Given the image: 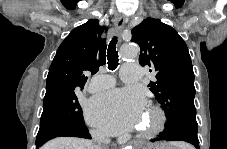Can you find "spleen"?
<instances>
[{"mask_svg": "<svg viewBox=\"0 0 227 149\" xmlns=\"http://www.w3.org/2000/svg\"><path fill=\"white\" fill-rule=\"evenodd\" d=\"M174 145L176 147H178L179 149H187L188 148V146L184 143H174Z\"/></svg>", "mask_w": 227, "mask_h": 149, "instance_id": "obj_1", "label": "spleen"}]
</instances>
